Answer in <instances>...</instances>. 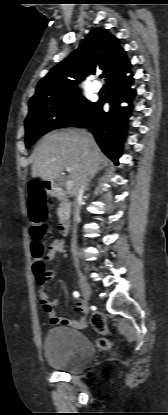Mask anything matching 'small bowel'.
Masks as SVG:
<instances>
[{"label": "small bowel", "mask_w": 168, "mask_h": 415, "mask_svg": "<svg viewBox=\"0 0 168 415\" xmlns=\"http://www.w3.org/2000/svg\"><path fill=\"white\" fill-rule=\"evenodd\" d=\"M64 249V242L61 239H55L49 246L47 252V259L51 260L54 256L58 253H61ZM54 273H48V278H54ZM40 300L42 303L43 310L47 313L50 322L52 325L55 326H71L73 328L82 329L86 326V319L84 317H80L76 320H69L65 317H61L57 314L54 310V306L57 305V300H50L47 296L45 289L42 287L39 292ZM76 310L78 312H84L85 306L83 303L79 302L76 306Z\"/></svg>", "instance_id": "obj_1"}]
</instances>
